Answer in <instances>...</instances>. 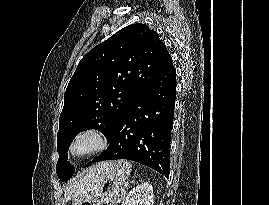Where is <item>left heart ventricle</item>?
Returning a JSON list of instances; mask_svg holds the SVG:
<instances>
[{"mask_svg": "<svg viewBox=\"0 0 269 205\" xmlns=\"http://www.w3.org/2000/svg\"><path fill=\"white\" fill-rule=\"evenodd\" d=\"M94 146V140L90 137L80 139L74 146V152L81 154L89 151Z\"/></svg>", "mask_w": 269, "mask_h": 205, "instance_id": "obj_1", "label": "left heart ventricle"}]
</instances>
